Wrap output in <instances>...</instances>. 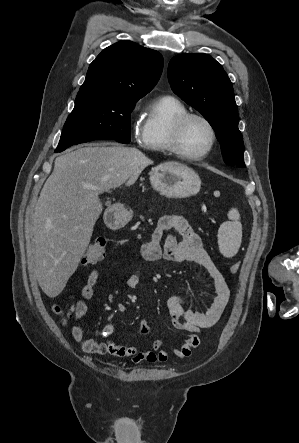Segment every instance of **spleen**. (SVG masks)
I'll list each match as a JSON object with an SVG mask.
<instances>
[{"label":"spleen","instance_id":"spleen-1","mask_svg":"<svg viewBox=\"0 0 299 443\" xmlns=\"http://www.w3.org/2000/svg\"><path fill=\"white\" fill-rule=\"evenodd\" d=\"M230 221L221 224L218 230L219 250L225 257H233L239 250L242 241V226L239 222L240 214L232 208L228 212Z\"/></svg>","mask_w":299,"mask_h":443}]
</instances>
